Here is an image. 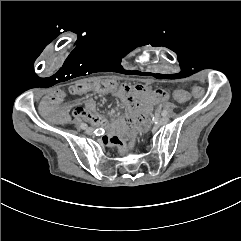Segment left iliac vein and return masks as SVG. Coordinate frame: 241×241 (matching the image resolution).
Returning a JSON list of instances; mask_svg holds the SVG:
<instances>
[{
  "mask_svg": "<svg viewBox=\"0 0 241 241\" xmlns=\"http://www.w3.org/2000/svg\"><path fill=\"white\" fill-rule=\"evenodd\" d=\"M168 122H169V117H167V116H164V117H161V118L157 119V125H159V126L165 125Z\"/></svg>",
  "mask_w": 241,
  "mask_h": 241,
  "instance_id": "4c4485c4",
  "label": "left iliac vein"
}]
</instances>
